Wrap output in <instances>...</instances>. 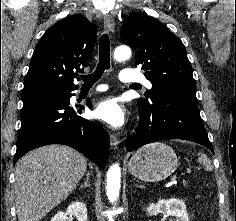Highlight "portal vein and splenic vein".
I'll use <instances>...</instances> for the list:
<instances>
[{"instance_id": "portal-vein-and-splenic-vein-1", "label": "portal vein and splenic vein", "mask_w": 236, "mask_h": 221, "mask_svg": "<svg viewBox=\"0 0 236 221\" xmlns=\"http://www.w3.org/2000/svg\"><path fill=\"white\" fill-rule=\"evenodd\" d=\"M172 182H177V178H176V177H173V178H172Z\"/></svg>"}]
</instances>
